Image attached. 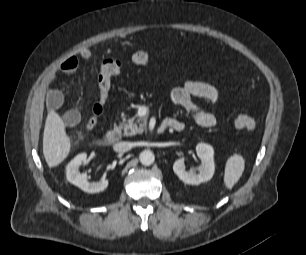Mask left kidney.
<instances>
[{
  "mask_svg": "<svg viewBox=\"0 0 306 255\" xmlns=\"http://www.w3.org/2000/svg\"><path fill=\"white\" fill-rule=\"evenodd\" d=\"M196 153L201 160L198 174L194 169H186L184 158L176 160L173 164L174 173L186 184L199 185L209 181L214 174L213 147L205 143H199L196 146Z\"/></svg>",
  "mask_w": 306,
  "mask_h": 255,
  "instance_id": "1",
  "label": "left kidney"
}]
</instances>
